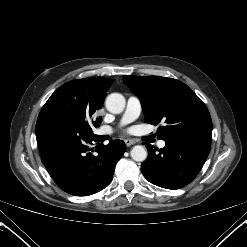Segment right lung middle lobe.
Returning <instances> with one entry per match:
<instances>
[{
    "label": "right lung middle lobe",
    "mask_w": 247,
    "mask_h": 247,
    "mask_svg": "<svg viewBox=\"0 0 247 247\" xmlns=\"http://www.w3.org/2000/svg\"><path fill=\"white\" fill-rule=\"evenodd\" d=\"M103 98L80 80H72L59 87L47 100L42 110H55L65 113L86 123L89 127H98L102 118L96 117Z\"/></svg>",
    "instance_id": "right-lung-middle-lobe-1"
}]
</instances>
